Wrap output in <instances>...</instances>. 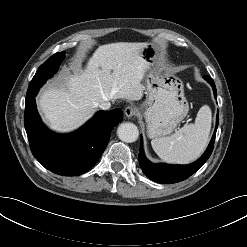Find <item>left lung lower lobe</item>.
I'll return each instance as SVG.
<instances>
[{
  "instance_id": "left-lung-lower-lobe-1",
  "label": "left lung lower lobe",
  "mask_w": 247,
  "mask_h": 247,
  "mask_svg": "<svg viewBox=\"0 0 247 247\" xmlns=\"http://www.w3.org/2000/svg\"><path fill=\"white\" fill-rule=\"evenodd\" d=\"M204 79L212 86L214 97L215 99H217V91L214 81L209 76H204ZM217 127H218V115L216 118L215 131L206 151L197 161L189 165L152 164L150 161L146 159L144 155L143 147H142V137H141L140 152L138 157H139V164L144 174L147 177H149L151 180L162 184H172L187 179L192 174H194L199 168H201V166L210 157L213 151Z\"/></svg>"
}]
</instances>
